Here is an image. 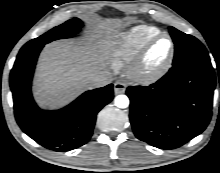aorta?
Returning a JSON list of instances; mask_svg holds the SVG:
<instances>
[{"label":"aorta","instance_id":"aorta-1","mask_svg":"<svg viewBox=\"0 0 220 173\" xmlns=\"http://www.w3.org/2000/svg\"><path fill=\"white\" fill-rule=\"evenodd\" d=\"M115 105L118 108H127L129 106V98L126 95H118L115 97Z\"/></svg>","mask_w":220,"mask_h":173}]
</instances>
